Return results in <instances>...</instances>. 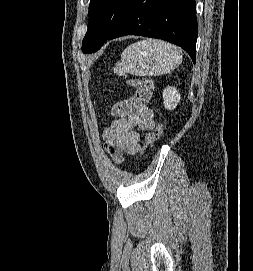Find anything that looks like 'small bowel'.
Masks as SVG:
<instances>
[{
  "label": "small bowel",
  "instance_id": "small-bowel-1",
  "mask_svg": "<svg viewBox=\"0 0 253 271\" xmlns=\"http://www.w3.org/2000/svg\"><path fill=\"white\" fill-rule=\"evenodd\" d=\"M150 97V91L138 89L130 98L113 105L114 120L104 129L103 138L116 164L122 163L124 152L138 153L142 133L154 128V114L147 106Z\"/></svg>",
  "mask_w": 253,
  "mask_h": 271
}]
</instances>
